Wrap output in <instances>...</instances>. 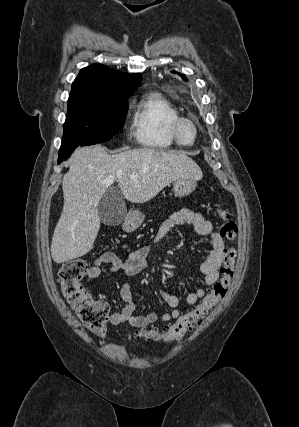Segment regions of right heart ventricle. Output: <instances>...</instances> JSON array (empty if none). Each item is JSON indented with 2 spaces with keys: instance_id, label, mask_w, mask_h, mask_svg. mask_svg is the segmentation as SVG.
I'll list each match as a JSON object with an SVG mask.
<instances>
[{
  "instance_id": "e07e8e85",
  "label": "right heart ventricle",
  "mask_w": 299,
  "mask_h": 427,
  "mask_svg": "<svg viewBox=\"0 0 299 427\" xmlns=\"http://www.w3.org/2000/svg\"><path fill=\"white\" fill-rule=\"evenodd\" d=\"M179 116L177 107L163 94L150 91L133 105L132 135L138 145L153 150L175 146L169 125Z\"/></svg>"
}]
</instances>
